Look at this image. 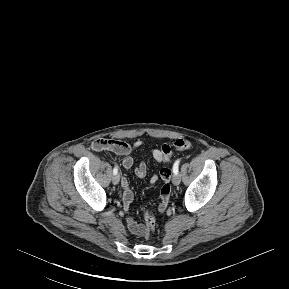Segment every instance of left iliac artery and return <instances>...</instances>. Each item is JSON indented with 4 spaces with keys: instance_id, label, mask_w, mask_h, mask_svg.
Returning a JSON list of instances; mask_svg holds the SVG:
<instances>
[{
    "instance_id": "1",
    "label": "left iliac artery",
    "mask_w": 289,
    "mask_h": 289,
    "mask_svg": "<svg viewBox=\"0 0 289 289\" xmlns=\"http://www.w3.org/2000/svg\"><path fill=\"white\" fill-rule=\"evenodd\" d=\"M179 164H180V160H176L174 165H173V172L174 174H177L178 173V170H179Z\"/></svg>"
}]
</instances>
